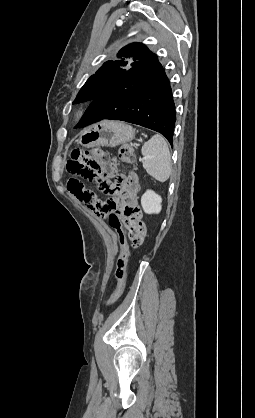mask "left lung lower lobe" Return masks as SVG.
Returning a JSON list of instances; mask_svg holds the SVG:
<instances>
[{"instance_id": "0a47b994", "label": "left lung lower lobe", "mask_w": 255, "mask_h": 418, "mask_svg": "<svg viewBox=\"0 0 255 418\" xmlns=\"http://www.w3.org/2000/svg\"><path fill=\"white\" fill-rule=\"evenodd\" d=\"M106 119L155 130L173 145L175 104L169 79L155 54L128 69L96 97L77 127Z\"/></svg>"}]
</instances>
